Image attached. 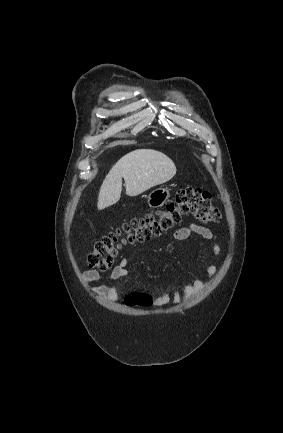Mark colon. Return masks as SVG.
Returning <instances> with one entry per match:
<instances>
[{
  "mask_svg": "<svg viewBox=\"0 0 283 433\" xmlns=\"http://www.w3.org/2000/svg\"><path fill=\"white\" fill-rule=\"evenodd\" d=\"M187 214L206 224L219 223L222 218L208 192L193 187L180 188L162 210L133 218L103 235L88 255L90 266L101 271L110 269L123 245L158 237L180 223ZM126 304L148 307L153 304V298L146 293H133L126 297Z\"/></svg>",
  "mask_w": 283,
  "mask_h": 433,
  "instance_id": "colon-1",
  "label": "colon"
}]
</instances>
